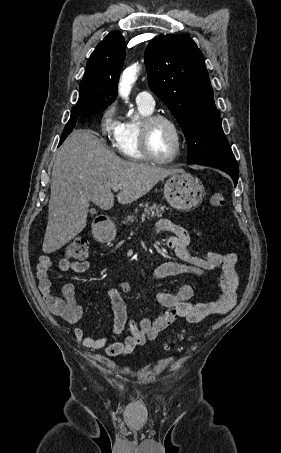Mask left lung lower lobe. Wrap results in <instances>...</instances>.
Listing matches in <instances>:
<instances>
[{
  "label": "left lung lower lobe",
  "instance_id": "1",
  "mask_svg": "<svg viewBox=\"0 0 281 453\" xmlns=\"http://www.w3.org/2000/svg\"><path fill=\"white\" fill-rule=\"evenodd\" d=\"M196 164L212 166V167L218 168V169L226 172L227 174H229L232 177L235 186L238 182L239 171H238V164H237L235 158L203 161V162H199Z\"/></svg>",
  "mask_w": 281,
  "mask_h": 453
}]
</instances>
